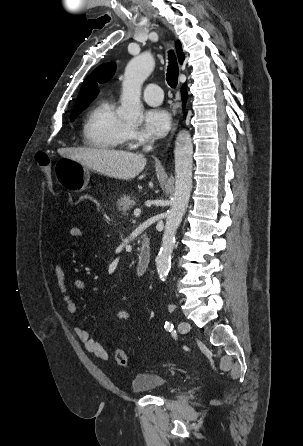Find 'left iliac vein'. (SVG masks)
Listing matches in <instances>:
<instances>
[{"label":"left iliac vein","instance_id":"1","mask_svg":"<svg viewBox=\"0 0 303 446\" xmlns=\"http://www.w3.org/2000/svg\"><path fill=\"white\" fill-rule=\"evenodd\" d=\"M178 331L182 334H186L190 331V324L186 321H181L178 325Z\"/></svg>","mask_w":303,"mask_h":446}]
</instances>
